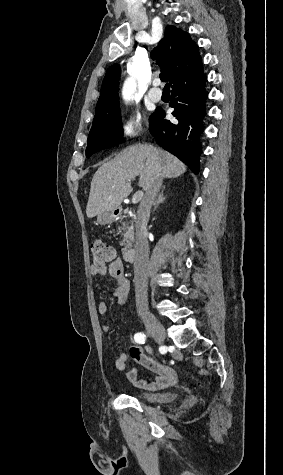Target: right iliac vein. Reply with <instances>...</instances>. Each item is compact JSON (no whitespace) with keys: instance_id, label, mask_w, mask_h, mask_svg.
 Instances as JSON below:
<instances>
[{"instance_id":"63e3f726","label":"right iliac vein","mask_w":283,"mask_h":475,"mask_svg":"<svg viewBox=\"0 0 283 475\" xmlns=\"http://www.w3.org/2000/svg\"><path fill=\"white\" fill-rule=\"evenodd\" d=\"M143 322L153 338L157 340L165 339V328L156 317L153 315H146L143 317Z\"/></svg>"}]
</instances>
